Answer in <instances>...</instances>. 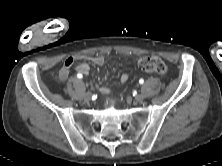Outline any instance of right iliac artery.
Here are the masks:
<instances>
[{"instance_id": "1", "label": "right iliac artery", "mask_w": 222, "mask_h": 166, "mask_svg": "<svg viewBox=\"0 0 222 166\" xmlns=\"http://www.w3.org/2000/svg\"><path fill=\"white\" fill-rule=\"evenodd\" d=\"M77 77L81 79V78H83V75L81 73H78Z\"/></svg>"}]
</instances>
